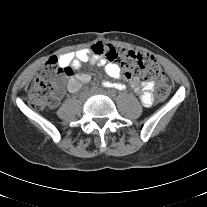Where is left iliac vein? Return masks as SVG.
Returning <instances> with one entry per match:
<instances>
[{
  "instance_id": "1",
  "label": "left iliac vein",
  "mask_w": 207,
  "mask_h": 207,
  "mask_svg": "<svg viewBox=\"0 0 207 207\" xmlns=\"http://www.w3.org/2000/svg\"><path fill=\"white\" fill-rule=\"evenodd\" d=\"M93 94L94 93H101V94H104V95H107L109 97H114L115 96V91L114 90H109V91H106L104 89H99V90H92L91 91Z\"/></svg>"
}]
</instances>
